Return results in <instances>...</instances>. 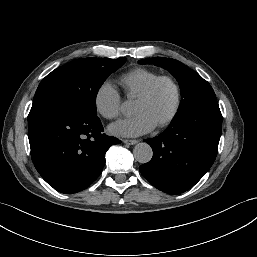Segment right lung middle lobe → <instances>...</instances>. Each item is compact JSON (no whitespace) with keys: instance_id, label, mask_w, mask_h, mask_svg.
Wrapping results in <instances>:
<instances>
[{"instance_id":"1","label":"right lung middle lobe","mask_w":257,"mask_h":257,"mask_svg":"<svg viewBox=\"0 0 257 257\" xmlns=\"http://www.w3.org/2000/svg\"><path fill=\"white\" fill-rule=\"evenodd\" d=\"M125 61L124 57L83 58L55 69L39 84L31 110H66L96 116L99 88Z\"/></svg>"}]
</instances>
